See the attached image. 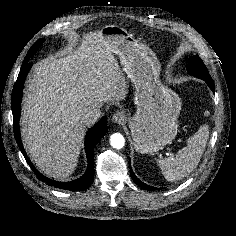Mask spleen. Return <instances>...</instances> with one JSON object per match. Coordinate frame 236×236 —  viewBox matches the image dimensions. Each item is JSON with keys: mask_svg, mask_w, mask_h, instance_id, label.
I'll return each instance as SVG.
<instances>
[{"mask_svg": "<svg viewBox=\"0 0 236 236\" xmlns=\"http://www.w3.org/2000/svg\"><path fill=\"white\" fill-rule=\"evenodd\" d=\"M209 137L207 125L200 127L198 132L187 140V146L178 151L177 155L158 161L166 180L173 182L188 176L200 162Z\"/></svg>", "mask_w": 236, "mask_h": 236, "instance_id": "obj_1", "label": "spleen"}]
</instances>
